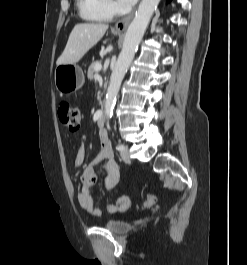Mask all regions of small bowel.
<instances>
[{
    "mask_svg": "<svg viewBox=\"0 0 247 265\" xmlns=\"http://www.w3.org/2000/svg\"><path fill=\"white\" fill-rule=\"evenodd\" d=\"M100 151L97 156L91 160L83 169L80 177V188L77 193V199L80 206L89 213L100 216L102 209L95 206L90 189L97 182L98 175L96 166L105 161L103 187L105 190H111L117 186L120 181V167L114 160V154L110 139L107 132L102 129L99 132ZM85 151L81 145L76 156V167H80L84 161ZM131 201L129 197L124 196L112 202H109L106 209L109 213L123 212L130 207Z\"/></svg>",
    "mask_w": 247,
    "mask_h": 265,
    "instance_id": "c3829d8e",
    "label": "small bowel"
}]
</instances>
